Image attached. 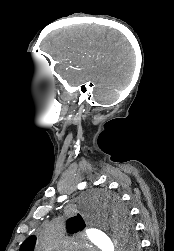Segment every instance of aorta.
<instances>
[{
    "instance_id": "762f6f07",
    "label": "aorta",
    "mask_w": 174,
    "mask_h": 251,
    "mask_svg": "<svg viewBox=\"0 0 174 251\" xmlns=\"http://www.w3.org/2000/svg\"><path fill=\"white\" fill-rule=\"evenodd\" d=\"M89 227L85 236L102 251H133L135 247L128 242L123 231L115 226V220L98 214V209L91 207L87 213ZM110 229L113 234L111 240L103 231ZM63 244V235L55 225L45 227L40 235V249L54 251Z\"/></svg>"
}]
</instances>
